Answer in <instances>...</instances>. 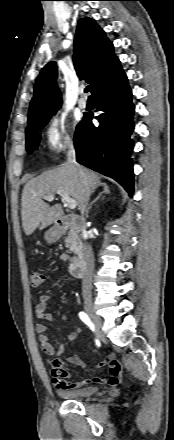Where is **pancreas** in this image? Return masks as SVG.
<instances>
[{
  "label": "pancreas",
  "mask_w": 174,
  "mask_h": 440,
  "mask_svg": "<svg viewBox=\"0 0 174 440\" xmlns=\"http://www.w3.org/2000/svg\"><path fill=\"white\" fill-rule=\"evenodd\" d=\"M65 242H66V247L69 248L71 252L77 251L79 245V239L75 233L70 231L65 239Z\"/></svg>",
  "instance_id": "pancreas-1"
}]
</instances>
